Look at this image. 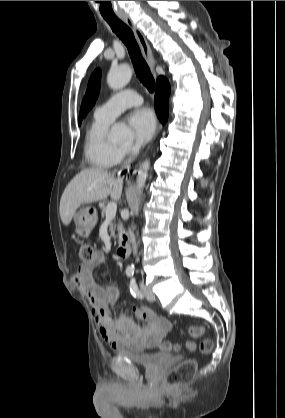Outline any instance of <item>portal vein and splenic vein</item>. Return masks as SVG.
Instances as JSON below:
<instances>
[{
	"label": "portal vein and splenic vein",
	"mask_w": 285,
	"mask_h": 418,
	"mask_svg": "<svg viewBox=\"0 0 285 418\" xmlns=\"http://www.w3.org/2000/svg\"><path fill=\"white\" fill-rule=\"evenodd\" d=\"M117 205L115 202H110L106 207V220H112L116 216Z\"/></svg>",
	"instance_id": "1"
}]
</instances>
